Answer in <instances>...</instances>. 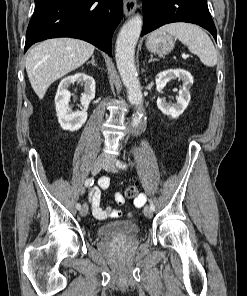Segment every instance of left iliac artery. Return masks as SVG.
Wrapping results in <instances>:
<instances>
[{"label": "left iliac artery", "instance_id": "44dca946", "mask_svg": "<svg viewBox=\"0 0 247 296\" xmlns=\"http://www.w3.org/2000/svg\"><path fill=\"white\" fill-rule=\"evenodd\" d=\"M116 166L121 168V169H126L127 168L126 164H124L123 162H121L119 160L116 161ZM150 208H151L152 211H155V206H154V204H153V202L151 200H150Z\"/></svg>", "mask_w": 247, "mask_h": 296}]
</instances>
